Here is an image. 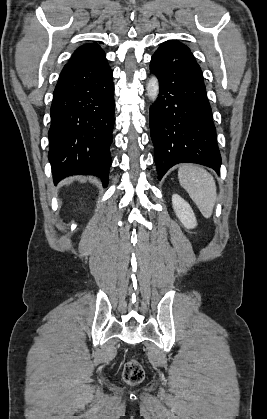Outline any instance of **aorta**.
<instances>
[{
  "label": "aorta",
  "instance_id": "obj_1",
  "mask_svg": "<svg viewBox=\"0 0 267 419\" xmlns=\"http://www.w3.org/2000/svg\"><path fill=\"white\" fill-rule=\"evenodd\" d=\"M147 95L152 101H156L159 95V81L156 76L148 79L146 84Z\"/></svg>",
  "mask_w": 267,
  "mask_h": 419
}]
</instances>
